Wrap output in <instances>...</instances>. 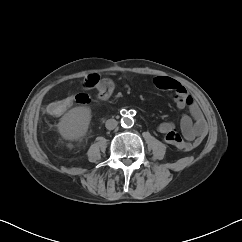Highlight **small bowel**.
I'll list each match as a JSON object with an SVG mask.
<instances>
[{"label": "small bowel", "mask_w": 242, "mask_h": 242, "mask_svg": "<svg viewBox=\"0 0 242 242\" xmlns=\"http://www.w3.org/2000/svg\"><path fill=\"white\" fill-rule=\"evenodd\" d=\"M92 78L97 79V89L106 87L109 88L110 92L113 91L114 84L111 80L107 78L99 79L95 74L88 75L83 85L88 83ZM153 83L160 90L173 92L176 106L179 109H187L189 112V115H183L181 118L180 127L182 135L177 133L172 122L164 121L158 125V131L163 135L164 141L184 151H189L199 145L207 134V124L194 98L182 84L173 78L157 77ZM68 99L70 108L75 99L73 97H68Z\"/></svg>", "instance_id": "obj_1"}]
</instances>
